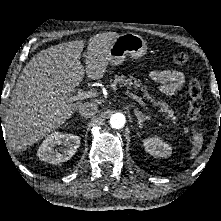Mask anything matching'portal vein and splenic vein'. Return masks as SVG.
<instances>
[{
    "instance_id": "portal-vein-and-splenic-vein-1",
    "label": "portal vein and splenic vein",
    "mask_w": 221,
    "mask_h": 221,
    "mask_svg": "<svg viewBox=\"0 0 221 221\" xmlns=\"http://www.w3.org/2000/svg\"><path fill=\"white\" fill-rule=\"evenodd\" d=\"M122 93L132 99H134L136 102H138L139 104H141L144 108L146 109H149L147 107V105L145 104V102L140 98L138 97L136 94L128 91V90H123ZM93 96H97V93L96 92H88V91H84L82 89H79L77 91V94L73 95V96H70L68 98L69 101H78V100H84V99H88V98H91Z\"/></svg>"
}]
</instances>
